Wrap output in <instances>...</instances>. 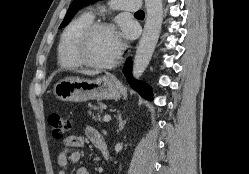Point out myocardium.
Returning <instances> with one entry per match:
<instances>
[{"mask_svg":"<svg viewBox=\"0 0 249 174\" xmlns=\"http://www.w3.org/2000/svg\"><path fill=\"white\" fill-rule=\"evenodd\" d=\"M107 30V31H113L116 32L115 27L110 23L105 22H97L90 24L80 35L76 46H75V54L80 63L86 67L92 68V69H108L113 67L119 60L121 52H122V42L119 40L118 42V48L111 60L105 63H95L88 59L86 55V49L89 43L90 38L98 31Z\"/></svg>","mask_w":249,"mask_h":174,"instance_id":"1","label":"myocardium"}]
</instances>
